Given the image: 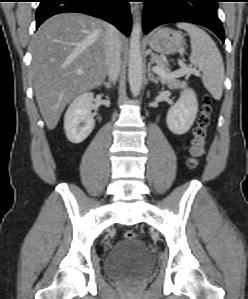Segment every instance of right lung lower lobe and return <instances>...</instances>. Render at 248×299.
Masks as SVG:
<instances>
[{"instance_id": "right-lung-lower-lobe-1", "label": "right lung lower lobe", "mask_w": 248, "mask_h": 299, "mask_svg": "<svg viewBox=\"0 0 248 299\" xmlns=\"http://www.w3.org/2000/svg\"><path fill=\"white\" fill-rule=\"evenodd\" d=\"M65 12H79L101 18L129 36L131 15L129 0H40L36 12L38 28L49 17Z\"/></svg>"}]
</instances>
